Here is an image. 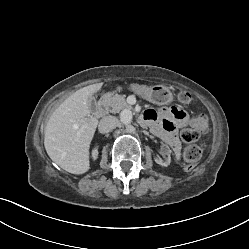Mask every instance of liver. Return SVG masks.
<instances>
[{
    "label": "liver",
    "mask_w": 249,
    "mask_h": 249,
    "mask_svg": "<svg viewBox=\"0 0 249 249\" xmlns=\"http://www.w3.org/2000/svg\"><path fill=\"white\" fill-rule=\"evenodd\" d=\"M103 83L79 89L53 112L45 128L44 146L53 162L72 174L90 168L89 148L98 119L90 116V98Z\"/></svg>",
    "instance_id": "obj_1"
}]
</instances>
